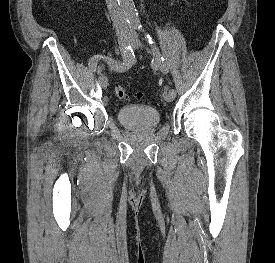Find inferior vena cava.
Masks as SVG:
<instances>
[{
    "label": "inferior vena cava",
    "mask_w": 275,
    "mask_h": 263,
    "mask_svg": "<svg viewBox=\"0 0 275 263\" xmlns=\"http://www.w3.org/2000/svg\"><path fill=\"white\" fill-rule=\"evenodd\" d=\"M118 1L119 0H106L107 8L117 34L128 33L131 28L126 21V17L123 14Z\"/></svg>",
    "instance_id": "1"
}]
</instances>
